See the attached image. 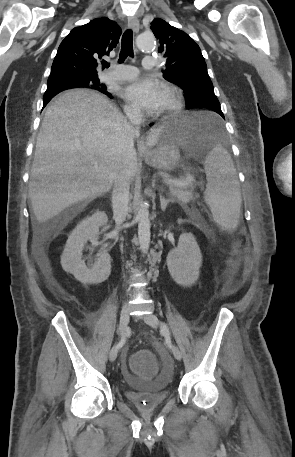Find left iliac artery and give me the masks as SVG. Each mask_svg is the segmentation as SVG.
Masks as SVG:
<instances>
[{
  "mask_svg": "<svg viewBox=\"0 0 295 457\" xmlns=\"http://www.w3.org/2000/svg\"><path fill=\"white\" fill-rule=\"evenodd\" d=\"M161 332L165 336L167 345L171 348L172 345H171V340H170V331H169L167 324L164 322L161 323Z\"/></svg>",
  "mask_w": 295,
  "mask_h": 457,
  "instance_id": "44dca946",
  "label": "left iliac artery"
}]
</instances>
